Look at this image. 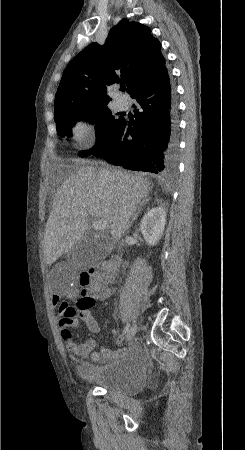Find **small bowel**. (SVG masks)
Wrapping results in <instances>:
<instances>
[{
  "label": "small bowel",
  "instance_id": "obj_1",
  "mask_svg": "<svg viewBox=\"0 0 245 450\" xmlns=\"http://www.w3.org/2000/svg\"><path fill=\"white\" fill-rule=\"evenodd\" d=\"M114 292V289L112 287H105V288H100V287H94L90 293V296L92 298L93 301L95 300H104L109 298ZM69 297H73L72 294L69 295ZM62 300V297L59 295H52L50 298V303L53 306H57ZM79 317L82 319V321L85 323L86 327L93 333H99L100 332V326L98 324V322L96 321V319L94 318L91 308L87 309V310H79ZM59 327H60V331L62 333V338H63V342L65 344V346L67 347V350L69 351V353L74 356H80V355H86L89 352H91L95 346H96V340L93 338H90L88 340H86L85 342H83L80 345H77L74 341V339L72 337H70L69 339H66L63 336V331H64V326L61 324V322L59 321ZM112 333H116V330H112ZM125 352V350H121L118 351L116 354H123ZM109 352L102 349L100 351H96L92 354V359L93 360H97L103 356L108 355Z\"/></svg>",
  "mask_w": 245,
  "mask_h": 450
}]
</instances>
